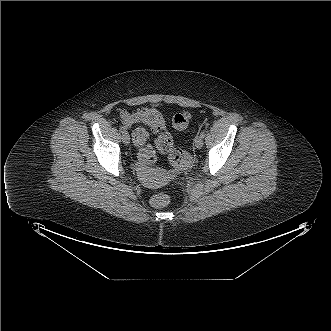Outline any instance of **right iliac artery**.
I'll return each mask as SVG.
<instances>
[{
	"instance_id": "obj_1",
	"label": "right iliac artery",
	"mask_w": 331,
	"mask_h": 331,
	"mask_svg": "<svg viewBox=\"0 0 331 331\" xmlns=\"http://www.w3.org/2000/svg\"><path fill=\"white\" fill-rule=\"evenodd\" d=\"M119 131H120L121 133H124V132H125L124 127H123V126H120V127H119Z\"/></svg>"
}]
</instances>
